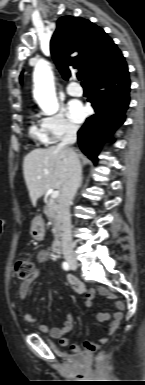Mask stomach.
<instances>
[{
  "instance_id": "1",
  "label": "stomach",
  "mask_w": 145,
  "mask_h": 385,
  "mask_svg": "<svg viewBox=\"0 0 145 385\" xmlns=\"http://www.w3.org/2000/svg\"><path fill=\"white\" fill-rule=\"evenodd\" d=\"M31 236L36 240H42L44 237V225L40 218H36L30 229Z\"/></svg>"
}]
</instances>
